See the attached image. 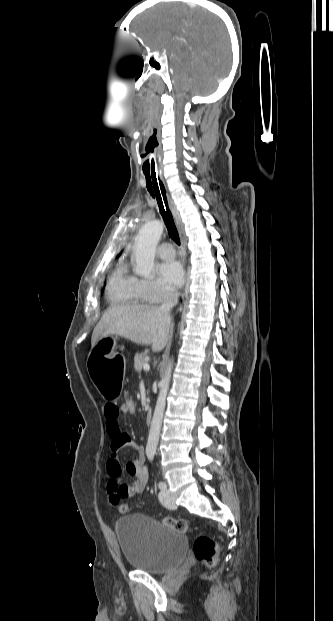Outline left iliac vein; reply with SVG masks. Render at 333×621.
Here are the masks:
<instances>
[{"label":"left iliac vein","mask_w":333,"mask_h":621,"mask_svg":"<svg viewBox=\"0 0 333 621\" xmlns=\"http://www.w3.org/2000/svg\"><path fill=\"white\" fill-rule=\"evenodd\" d=\"M159 499L162 505L165 506L166 508H169V509L176 508L175 500L173 496L171 495V493L169 492V490L167 489V487L161 490L159 494Z\"/></svg>","instance_id":"1"}]
</instances>
